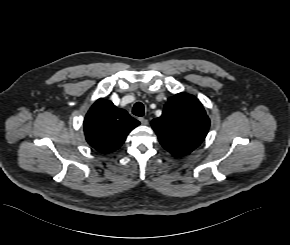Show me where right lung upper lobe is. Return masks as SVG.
<instances>
[{
    "instance_id": "cb5924a9",
    "label": "right lung upper lobe",
    "mask_w": 290,
    "mask_h": 245,
    "mask_svg": "<svg viewBox=\"0 0 290 245\" xmlns=\"http://www.w3.org/2000/svg\"><path fill=\"white\" fill-rule=\"evenodd\" d=\"M139 124L125 110L101 98L88 111L84 120V132L90 146L107 154L117 150L128 133Z\"/></svg>"
}]
</instances>
